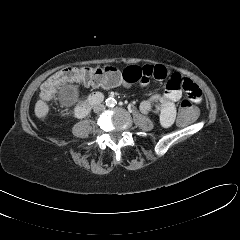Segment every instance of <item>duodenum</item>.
<instances>
[{"instance_id": "1", "label": "duodenum", "mask_w": 240, "mask_h": 240, "mask_svg": "<svg viewBox=\"0 0 240 240\" xmlns=\"http://www.w3.org/2000/svg\"><path fill=\"white\" fill-rule=\"evenodd\" d=\"M102 99H103V96L100 93L91 95L86 101L77 105V107L75 108L76 116L79 118L85 117L89 113L90 109L94 105L100 103Z\"/></svg>"}]
</instances>
